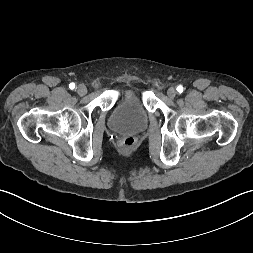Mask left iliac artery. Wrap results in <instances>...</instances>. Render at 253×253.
Masks as SVG:
<instances>
[{"instance_id": "1", "label": "left iliac artery", "mask_w": 253, "mask_h": 253, "mask_svg": "<svg viewBox=\"0 0 253 253\" xmlns=\"http://www.w3.org/2000/svg\"><path fill=\"white\" fill-rule=\"evenodd\" d=\"M183 86H181V85H179L178 87H177V91L179 92V93H182L183 92Z\"/></svg>"}]
</instances>
